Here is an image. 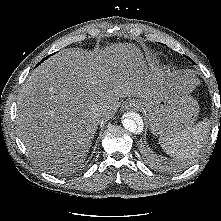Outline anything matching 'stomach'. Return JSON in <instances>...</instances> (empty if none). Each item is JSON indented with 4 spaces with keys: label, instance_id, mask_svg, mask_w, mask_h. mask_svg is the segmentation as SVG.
Returning <instances> with one entry per match:
<instances>
[{
    "label": "stomach",
    "instance_id": "stomach-1",
    "mask_svg": "<svg viewBox=\"0 0 221 221\" xmlns=\"http://www.w3.org/2000/svg\"><path fill=\"white\" fill-rule=\"evenodd\" d=\"M155 94L158 97L156 104L146 106L152 133L161 137L195 121L198 105L188 92L162 88Z\"/></svg>",
    "mask_w": 221,
    "mask_h": 221
}]
</instances>
